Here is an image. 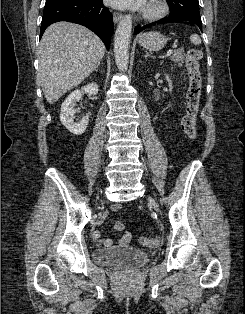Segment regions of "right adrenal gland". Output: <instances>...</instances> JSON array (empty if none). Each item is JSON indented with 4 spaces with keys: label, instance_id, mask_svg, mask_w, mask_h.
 Returning <instances> with one entry per match:
<instances>
[{
    "label": "right adrenal gland",
    "instance_id": "2a0ac1e0",
    "mask_svg": "<svg viewBox=\"0 0 245 314\" xmlns=\"http://www.w3.org/2000/svg\"><path fill=\"white\" fill-rule=\"evenodd\" d=\"M98 66H99V64H98V65L95 67V69H94L96 72H97V68H98Z\"/></svg>",
    "mask_w": 245,
    "mask_h": 314
}]
</instances>
